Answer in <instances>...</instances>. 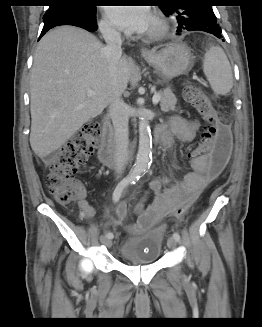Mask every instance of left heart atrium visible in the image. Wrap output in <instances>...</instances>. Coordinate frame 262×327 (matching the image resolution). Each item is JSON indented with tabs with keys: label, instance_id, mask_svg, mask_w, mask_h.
<instances>
[{
	"label": "left heart atrium",
	"instance_id": "39dd6f15",
	"mask_svg": "<svg viewBox=\"0 0 262 327\" xmlns=\"http://www.w3.org/2000/svg\"><path fill=\"white\" fill-rule=\"evenodd\" d=\"M109 19L125 32H144L152 24V15L143 5H116L107 8Z\"/></svg>",
	"mask_w": 262,
	"mask_h": 327
}]
</instances>
